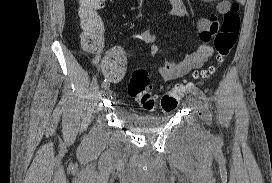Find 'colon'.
<instances>
[{
    "label": "colon",
    "instance_id": "obj_1",
    "mask_svg": "<svg viewBox=\"0 0 272 183\" xmlns=\"http://www.w3.org/2000/svg\"><path fill=\"white\" fill-rule=\"evenodd\" d=\"M78 4L77 16L79 18L81 28V44L83 49L94 54L101 51L104 45V26L97 11L102 7L105 0H76ZM219 30L215 31V48L216 62L221 63L233 49L239 33L240 18H239V3L234 2L230 9L225 13ZM112 56L106 54L101 59V65L107 64L112 60ZM216 67L210 66L204 76H209L215 72ZM150 75L144 69L135 70L130 77L128 83V93L134 98L145 110H152L156 104V96L151 92ZM191 86H174L162 98L161 108L166 111H172L176 108L183 92Z\"/></svg>",
    "mask_w": 272,
    "mask_h": 183
}]
</instances>
